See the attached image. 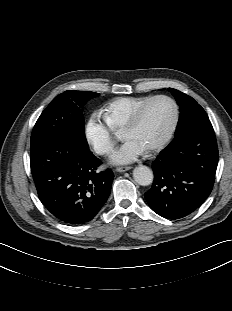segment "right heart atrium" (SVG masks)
<instances>
[{
    "label": "right heart atrium",
    "mask_w": 232,
    "mask_h": 311,
    "mask_svg": "<svg viewBox=\"0 0 232 311\" xmlns=\"http://www.w3.org/2000/svg\"><path fill=\"white\" fill-rule=\"evenodd\" d=\"M84 136L93 150L100 155H109L115 146L113 130L98 114L91 115L84 127Z\"/></svg>",
    "instance_id": "1"
}]
</instances>
